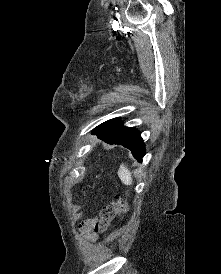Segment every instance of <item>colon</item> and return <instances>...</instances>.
<instances>
[{
  "label": "colon",
  "mask_w": 221,
  "mask_h": 274,
  "mask_svg": "<svg viewBox=\"0 0 221 274\" xmlns=\"http://www.w3.org/2000/svg\"><path fill=\"white\" fill-rule=\"evenodd\" d=\"M127 210V203L123 200H118L105 206L100 214V221L97 227L98 231H105L117 216L125 213Z\"/></svg>",
  "instance_id": "1"
}]
</instances>
